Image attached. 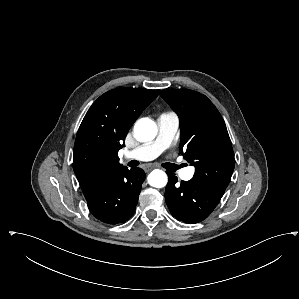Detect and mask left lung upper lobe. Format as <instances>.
I'll use <instances>...</instances> for the list:
<instances>
[{
  "mask_svg": "<svg viewBox=\"0 0 299 299\" xmlns=\"http://www.w3.org/2000/svg\"><path fill=\"white\" fill-rule=\"evenodd\" d=\"M160 95L179 116V150L195 167L193 179L224 193L235 159L219 111L205 95L193 90L167 89L162 90Z\"/></svg>",
  "mask_w": 299,
  "mask_h": 299,
  "instance_id": "5c2ea615",
  "label": "left lung upper lobe"
}]
</instances>
